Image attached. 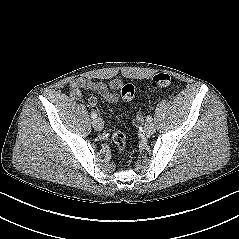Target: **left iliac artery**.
Here are the masks:
<instances>
[{"label":"left iliac artery","mask_w":239,"mask_h":239,"mask_svg":"<svg viewBox=\"0 0 239 239\" xmlns=\"http://www.w3.org/2000/svg\"><path fill=\"white\" fill-rule=\"evenodd\" d=\"M153 120V118L151 117V116H148L147 118H146V121L147 122H151Z\"/></svg>","instance_id":"left-iliac-artery-1"}]
</instances>
